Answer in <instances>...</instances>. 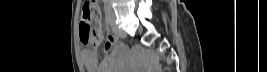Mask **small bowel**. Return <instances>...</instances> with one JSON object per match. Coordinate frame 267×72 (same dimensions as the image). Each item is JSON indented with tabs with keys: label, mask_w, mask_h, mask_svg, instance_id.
<instances>
[{
	"label": "small bowel",
	"mask_w": 267,
	"mask_h": 72,
	"mask_svg": "<svg viewBox=\"0 0 267 72\" xmlns=\"http://www.w3.org/2000/svg\"><path fill=\"white\" fill-rule=\"evenodd\" d=\"M117 38L114 35H110L104 45V51H109L116 43ZM82 59L86 69L89 72H109L110 65L114 62V58L112 56H107L103 59L102 65L100 67L97 66V54L92 50H85L82 53Z\"/></svg>",
	"instance_id": "1"
}]
</instances>
